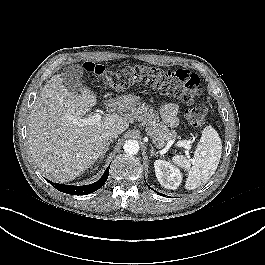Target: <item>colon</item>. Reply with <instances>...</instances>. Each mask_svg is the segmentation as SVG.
<instances>
[{"label": "colon", "mask_w": 265, "mask_h": 265, "mask_svg": "<svg viewBox=\"0 0 265 265\" xmlns=\"http://www.w3.org/2000/svg\"><path fill=\"white\" fill-rule=\"evenodd\" d=\"M84 69L117 91L134 84H143L157 88L187 104H193L200 93L198 76L185 69L165 70L151 65L135 64L109 70L95 63H86ZM206 115L207 106L197 103L186 111L185 117L192 126L201 127L205 123Z\"/></svg>", "instance_id": "1"}]
</instances>
